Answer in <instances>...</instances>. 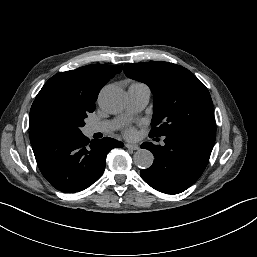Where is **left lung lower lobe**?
Masks as SVG:
<instances>
[{"mask_svg":"<svg viewBox=\"0 0 257 257\" xmlns=\"http://www.w3.org/2000/svg\"><path fill=\"white\" fill-rule=\"evenodd\" d=\"M164 142L163 147L148 142L141 145L153 153L155 160L140 175L154 189L178 194L194 184L206 168L215 143V129H185L166 136Z\"/></svg>","mask_w":257,"mask_h":257,"instance_id":"1","label":"left lung lower lobe"}]
</instances>
